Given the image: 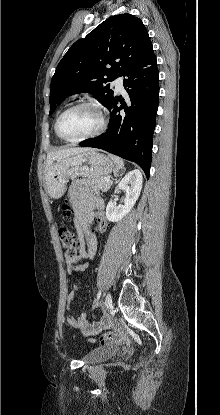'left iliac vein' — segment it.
Instances as JSON below:
<instances>
[{
  "label": "left iliac vein",
  "mask_w": 220,
  "mask_h": 415,
  "mask_svg": "<svg viewBox=\"0 0 220 415\" xmlns=\"http://www.w3.org/2000/svg\"><path fill=\"white\" fill-rule=\"evenodd\" d=\"M104 306L106 309H110L112 307V296L108 293L104 300Z\"/></svg>",
  "instance_id": "obj_1"
}]
</instances>
